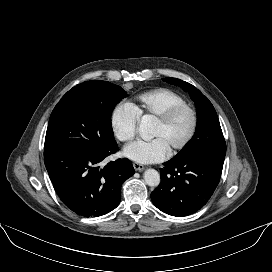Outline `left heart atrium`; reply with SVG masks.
<instances>
[{
  "mask_svg": "<svg viewBox=\"0 0 272 272\" xmlns=\"http://www.w3.org/2000/svg\"><path fill=\"white\" fill-rule=\"evenodd\" d=\"M167 153L168 149L158 137L148 141L137 140L124 149L126 157L142 164L160 162L165 159Z\"/></svg>",
  "mask_w": 272,
  "mask_h": 272,
  "instance_id": "obj_1",
  "label": "left heart atrium"
}]
</instances>
